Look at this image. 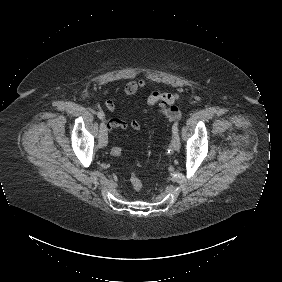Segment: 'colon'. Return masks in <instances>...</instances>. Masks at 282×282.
Here are the masks:
<instances>
[{"mask_svg": "<svg viewBox=\"0 0 282 282\" xmlns=\"http://www.w3.org/2000/svg\"><path fill=\"white\" fill-rule=\"evenodd\" d=\"M163 113L172 123H177L181 119V110L177 106L168 105L164 108ZM110 154L114 157H119L123 154V150L122 148L115 146L111 148ZM130 182L135 191L139 192L142 190L143 183L136 172L130 174Z\"/></svg>", "mask_w": 282, "mask_h": 282, "instance_id": "5ec220e1", "label": "colon"}]
</instances>
